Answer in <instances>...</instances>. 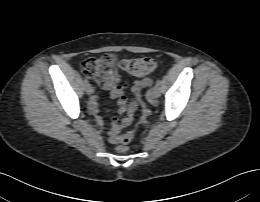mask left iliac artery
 I'll return each instance as SVG.
<instances>
[{
    "instance_id": "1",
    "label": "left iliac artery",
    "mask_w": 260,
    "mask_h": 202,
    "mask_svg": "<svg viewBox=\"0 0 260 202\" xmlns=\"http://www.w3.org/2000/svg\"><path fill=\"white\" fill-rule=\"evenodd\" d=\"M156 85H157V86H160V85H161V80H160V79H158V80L156 81Z\"/></svg>"
}]
</instances>
